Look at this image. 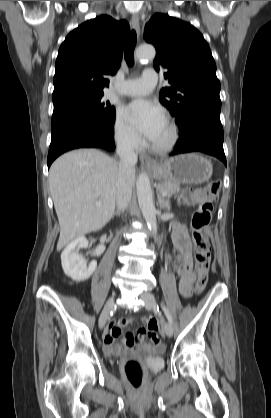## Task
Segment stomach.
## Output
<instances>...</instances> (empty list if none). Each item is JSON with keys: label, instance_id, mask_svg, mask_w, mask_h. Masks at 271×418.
<instances>
[{"label": "stomach", "instance_id": "obj_1", "mask_svg": "<svg viewBox=\"0 0 271 418\" xmlns=\"http://www.w3.org/2000/svg\"><path fill=\"white\" fill-rule=\"evenodd\" d=\"M213 173L212 163L205 157L190 153L172 157L152 169L153 176L161 182L200 184Z\"/></svg>", "mask_w": 271, "mask_h": 418}]
</instances>
